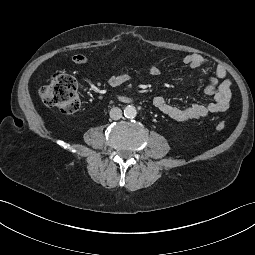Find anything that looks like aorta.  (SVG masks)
<instances>
[{
	"label": "aorta",
	"mask_w": 255,
	"mask_h": 255,
	"mask_svg": "<svg viewBox=\"0 0 255 255\" xmlns=\"http://www.w3.org/2000/svg\"><path fill=\"white\" fill-rule=\"evenodd\" d=\"M137 115V110L134 106L128 105L124 109V116L128 119H133Z\"/></svg>",
	"instance_id": "1"
}]
</instances>
